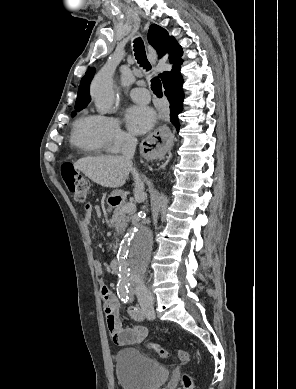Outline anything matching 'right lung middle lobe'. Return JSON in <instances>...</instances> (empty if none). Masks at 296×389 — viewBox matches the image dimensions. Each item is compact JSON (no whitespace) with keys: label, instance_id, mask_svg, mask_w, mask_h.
<instances>
[{"label":"right lung middle lobe","instance_id":"right-lung-middle-lobe-1","mask_svg":"<svg viewBox=\"0 0 296 389\" xmlns=\"http://www.w3.org/2000/svg\"><path fill=\"white\" fill-rule=\"evenodd\" d=\"M82 108H84V107L76 108V110L79 111V110H81ZM73 115H75V112L73 113Z\"/></svg>","mask_w":296,"mask_h":389}]
</instances>
